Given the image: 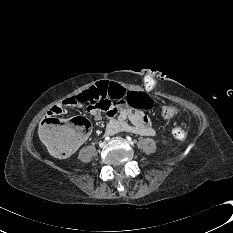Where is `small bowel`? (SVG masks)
Segmentation results:
<instances>
[{"label":"small bowel","instance_id":"c3829d8e","mask_svg":"<svg viewBox=\"0 0 233 233\" xmlns=\"http://www.w3.org/2000/svg\"><path fill=\"white\" fill-rule=\"evenodd\" d=\"M81 104H77L74 98H67L62 101L61 105L55 106L47 114L54 116L63 114L67 108H80ZM87 112L93 113L95 118L107 120L106 132L115 134L117 132H129L141 136H153L155 130L150 119L137 109L131 108L125 100L120 99L117 102L111 101L110 98L101 99L98 103L87 105ZM85 140V139H84Z\"/></svg>","mask_w":233,"mask_h":233}]
</instances>
